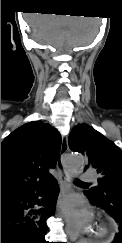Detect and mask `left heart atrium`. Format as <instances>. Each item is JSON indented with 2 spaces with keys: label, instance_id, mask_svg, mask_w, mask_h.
I'll list each match as a JSON object with an SVG mask.
<instances>
[{
  "label": "left heart atrium",
  "instance_id": "39dd6f15",
  "mask_svg": "<svg viewBox=\"0 0 122 243\" xmlns=\"http://www.w3.org/2000/svg\"><path fill=\"white\" fill-rule=\"evenodd\" d=\"M64 213L69 221L78 228H86L90 221L91 216L84 210L76 208L74 201L70 200L64 205Z\"/></svg>",
  "mask_w": 122,
  "mask_h": 243
}]
</instances>
